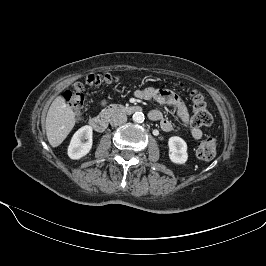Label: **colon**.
I'll return each mask as SVG.
<instances>
[{
  "label": "colon",
  "instance_id": "colon-1",
  "mask_svg": "<svg viewBox=\"0 0 266 266\" xmlns=\"http://www.w3.org/2000/svg\"><path fill=\"white\" fill-rule=\"evenodd\" d=\"M117 81V77L113 74L107 73L103 75L91 74L83 81L77 82L73 90L65 93V99L75 112L77 118L81 116V111L84 106L85 96L84 91L86 86H102L110 85ZM194 126H209L213 118L203 96L196 92H191ZM217 151V142L214 138H206L202 140L197 146V156L202 160H211L215 157Z\"/></svg>",
  "mask_w": 266,
  "mask_h": 266
}]
</instances>
